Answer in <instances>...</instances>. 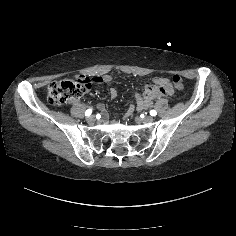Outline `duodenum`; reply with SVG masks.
I'll return each mask as SVG.
<instances>
[{"label": "duodenum", "instance_id": "duodenum-1", "mask_svg": "<svg viewBox=\"0 0 236 236\" xmlns=\"http://www.w3.org/2000/svg\"><path fill=\"white\" fill-rule=\"evenodd\" d=\"M160 86L162 88H165V91L154 90L153 92H149L147 97H144V98L142 97V100H144L145 98L148 99V98H150L153 95H163V94H165V92H168V93L171 92V89H170V87L168 86L167 83H160Z\"/></svg>", "mask_w": 236, "mask_h": 236}]
</instances>
